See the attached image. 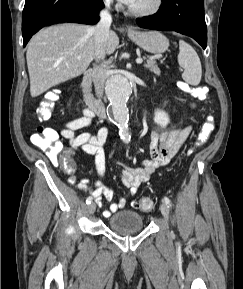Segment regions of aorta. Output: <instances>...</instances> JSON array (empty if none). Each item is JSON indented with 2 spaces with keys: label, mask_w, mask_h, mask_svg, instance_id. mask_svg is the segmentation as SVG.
<instances>
[{
  "label": "aorta",
  "mask_w": 243,
  "mask_h": 289,
  "mask_svg": "<svg viewBox=\"0 0 243 289\" xmlns=\"http://www.w3.org/2000/svg\"><path fill=\"white\" fill-rule=\"evenodd\" d=\"M105 92L110 102L113 119L119 128V136L124 143L130 141L128 132L129 110L127 101L131 94L128 79L122 75H114L106 82Z\"/></svg>",
  "instance_id": "aorta-1"
}]
</instances>
